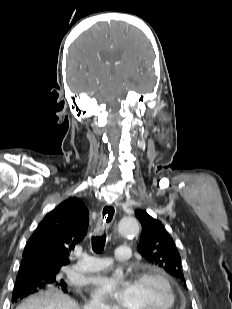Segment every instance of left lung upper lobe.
<instances>
[{
  "label": "left lung upper lobe",
  "mask_w": 232,
  "mask_h": 309,
  "mask_svg": "<svg viewBox=\"0 0 232 309\" xmlns=\"http://www.w3.org/2000/svg\"><path fill=\"white\" fill-rule=\"evenodd\" d=\"M135 215L142 225L138 252L149 263L164 269L172 277L185 283L180 254L162 223L146 211H136Z\"/></svg>",
  "instance_id": "left-lung-upper-lobe-1"
}]
</instances>
